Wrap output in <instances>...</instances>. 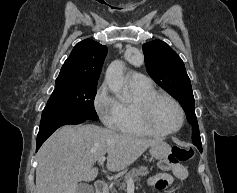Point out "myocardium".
Segmentation results:
<instances>
[{
	"label": "myocardium",
	"mask_w": 237,
	"mask_h": 193,
	"mask_svg": "<svg viewBox=\"0 0 237 193\" xmlns=\"http://www.w3.org/2000/svg\"><path fill=\"white\" fill-rule=\"evenodd\" d=\"M162 98L168 99L169 101H171L176 106V108L178 109L180 113V123L178 127L173 130H160L151 123L150 117H151L152 109L155 103L159 99H162ZM136 118L141 128H143L148 133L156 135V136H167V135L175 134L182 129L185 122V112L181 104L174 97H172L171 95L167 93L156 92L150 95L149 97H147L146 99L140 101L137 104Z\"/></svg>",
	"instance_id": "obj_1"
}]
</instances>
